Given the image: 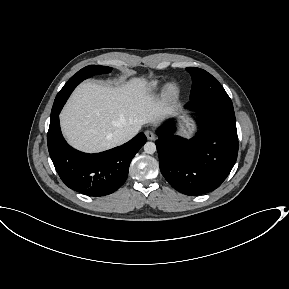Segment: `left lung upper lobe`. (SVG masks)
I'll return each mask as SVG.
<instances>
[{"mask_svg":"<svg viewBox=\"0 0 289 289\" xmlns=\"http://www.w3.org/2000/svg\"><path fill=\"white\" fill-rule=\"evenodd\" d=\"M186 70L192 77L190 99L213 98L231 102L222 85L210 73L196 67H188Z\"/></svg>","mask_w":289,"mask_h":289,"instance_id":"5c2ea615","label":"left lung upper lobe"}]
</instances>
